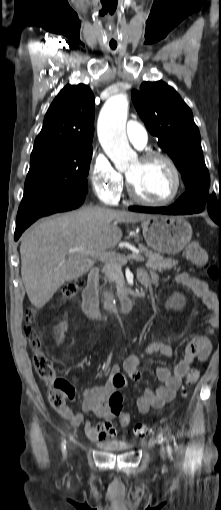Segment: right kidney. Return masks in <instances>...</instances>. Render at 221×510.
<instances>
[{
  "label": "right kidney",
  "instance_id": "1",
  "mask_svg": "<svg viewBox=\"0 0 221 510\" xmlns=\"http://www.w3.org/2000/svg\"><path fill=\"white\" fill-rule=\"evenodd\" d=\"M60 328H61V337H60V340L58 341L59 343L62 341V339L64 338V331L67 330V326L65 324H61L60 325Z\"/></svg>",
  "mask_w": 221,
  "mask_h": 510
}]
</instances>
